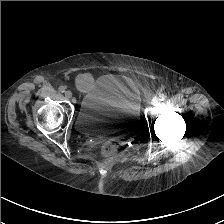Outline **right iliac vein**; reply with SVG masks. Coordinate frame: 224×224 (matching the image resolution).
<instances>
[{"mask_svg": "<svg viewBox=\"0 0 224 224\" xmlns=\"http://www.w3.org/2000/svg\"><path fill=\"white\" fill-rule=\"evenodd\" d=\"M64 95H65V97H66L67 99H71V98H72V92L69 91V90L65 91Z\"/></svg>", "mask_w": 224, "mask_h": 224, "instance_id": "obj_1", "label": "right iliac vein"}]
</instances>
